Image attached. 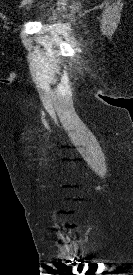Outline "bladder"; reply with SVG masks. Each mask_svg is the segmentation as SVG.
<instances>
[{"label":"bladder","instance_id":"1","mask_svg":"<svg viewBox=\"0 0 133 275\" xmlns=\"http://www.w3.org/2000/svg\"><path fill=\"white\" fill-rule=\"evenodd\" d=\"M56 18H57V14L53 13V14L51 15V19L54 20V19H56Z\"/></svg>","mask_w":133,"mask_h":275}]
</instances>
